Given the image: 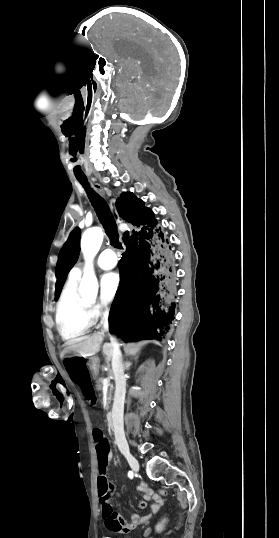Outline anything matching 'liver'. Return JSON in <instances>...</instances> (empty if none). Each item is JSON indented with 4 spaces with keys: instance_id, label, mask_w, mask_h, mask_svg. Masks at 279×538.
<instances>
[{
    "instance_id": "liver-1",
    "label": "liver",
    "mask_w": 279,
    "mask_h": 538,
    "mask_svg": "<svg viewBox=\"0 0 279 538\" xmlns=\"http://www.w3.org/2000/svg\"><path fill=\"white\" fill-rule=\"evenodd\" d=\"M103 340L104 334H100V332L99 334H91V336H85L81 342H68L66 344L68 348L65 352H76V356H84V358L95 356V354L100 352ZM102 352L107 358H110L112 354L111 344H103Z\"/></svg>"
}]
</instances>
